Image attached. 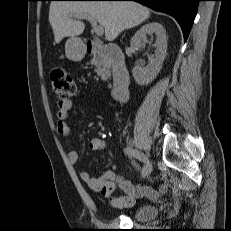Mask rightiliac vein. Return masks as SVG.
<instances>
[{
  "instance_id": "right-iliac-vein-1",
  "label": "right iliac vein",
  "mask_w": 231,
  "mask_h": 231,
  "mask_svg": "<svg viewBox=\"0 0 231 231\" xmlns=\"http://www.w3.org/2000/svg\"><path fill=\"white\" fill-rule=\"evenodd\" d=\"M147 165H148L149 168L152 169V162L150 160H147Z\"/></svg>"
}]
</instances>
